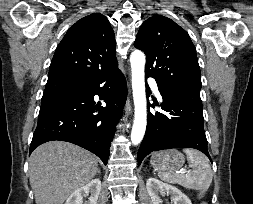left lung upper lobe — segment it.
I'll return each instance as SVG.
<instances>
[{"label":"left lung upper lobe","mask_w":253,"mask_h":204,"mask_svg":"<svg viewBox=\"0 0 253 204\" xmlns=\"http://www.w3.org/2000/svg\"><path fill=\"white\" fill-rule=\"evenodd\" d=\"M134 46L147 57L145 74L158 89L200 95L201 75L195 47L173 20L155 15L140 27Z\"/></svg>","instance_id":"1"}]
</instances>
